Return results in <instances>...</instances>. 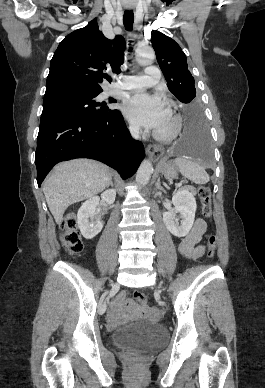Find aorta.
Segmentation results:
<instances>
[{
    "instance_id": "obj_1",
    "label": "aorta",
    "mask_w": 265,
    "mask_h": 388,
    "mask_svg": "<svg viewBox=\"0 0 265 388\" xmlns=\"http://www.w3.org/2000/svg\"><path fill=\"white\" fill-rule=\"evenodd\" d=\"M154 52L152 49L142 50L138 53V60L141 64L147 65L152 62ZM153 173V166L150 160L144 159L137 171L136 182L140 186L148 184L151 174Z\"/></svg>"
}]
</instances>
